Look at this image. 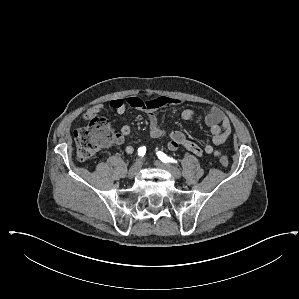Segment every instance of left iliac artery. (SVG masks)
<instances>
[{
	"label": "left iliac artery",
	"instance_id": "left-iliac-artery-1",
	"mask_svg": "<svg viewBox=\"0 0 299 299\" xmlns=\"http://www.w3.org/2000/svg\"><path fill=\"white\" fill-rule=\"evenodd\" d=\"M158 158L164 162V163H177V161L169 156H167L165 153L158 151L157 152Z\"/></svg>",
	"mask_w": 299,
	"mask_h": 299
}]
</instances>
